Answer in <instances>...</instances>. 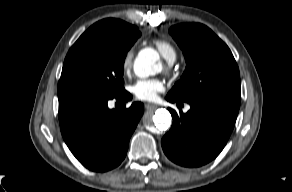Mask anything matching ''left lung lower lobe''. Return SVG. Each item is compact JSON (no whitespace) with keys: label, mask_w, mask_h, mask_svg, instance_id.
I'll return each instance as SVG.
<instances>
[{"label":"left lung lower lobe","mask_w":292,"mask_h":192,"mask_svg":"<svg viewBox=\"0 0 292 192\" xmlns=\"http://www.w3.org/2000/svg\"><path fill=\"white\" fill-rule=\"evenodd\" d=\"M169 102H180L166 96ZM187 113L169 108L173 124L162 138L165 155L183 167H199L215 159L234 128L240 100L201 98L187 102Z\"/></svg>","instance_id":"0a47b994"}]
</instances>
